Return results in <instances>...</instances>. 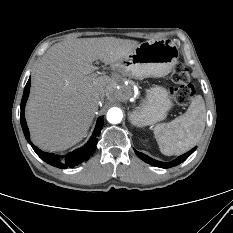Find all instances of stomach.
Masks as SVG:
<instances>
[{
    "label": "stomach",
    "mask_w": 233,
    "mask_h": 233,
    "mask_svg": "<svg viewBox=\"0 0 233 233\" xmlns=\"http://www.w3.org/2000/svg\"><path fill=\"white\" fill-rule=\"evenodd\" d=\"M176 44L169 40H150L140 43L121 61L116 69L124 75L142 79L169 74L178 61ZM168 91L160 86L146 90V98L138 110L130 113V121L138 126L153 125L166 118L172 107Z\"/></svg>",
    "instance_id": "1"
}]
</instances>
